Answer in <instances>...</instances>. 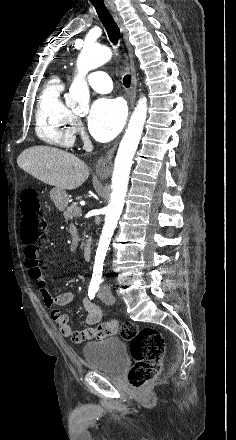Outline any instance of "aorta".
Returning a JSON list of instances; mask_svg holds the SVG:
<instances>
[{"instance_id":"aorta-1","label":"aorta","mask_w":236,"mask_h":440,"mask_svg":"<svg viewBox=\"0 0 236 440\" xmlns=\"http://www.w3.org/2000/svg\"><path fill=\"white\" fill-rule=\"evenodd\" d=\"M112 55V50L109 47L84 46L77 59V75L66 97V105L68 107L78 110H86L88 108L90 92L85 76L89 71L108 62ZM146 118L147 99L142 97L139 99L131 115L115 158L111 200L105 210V222L96 250L92 280H99L101 277L106 253L124 207L133 157L140 142Z\"/></svg>"}]
</instances>
